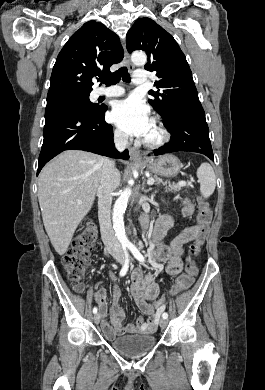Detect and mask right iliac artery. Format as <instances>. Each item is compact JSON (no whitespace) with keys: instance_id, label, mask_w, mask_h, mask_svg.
<instances>
[{"instance_id":"right-iliac-artery-1","label":"right iliac artery","mask_w":265,"mask_h":390,"mask_svg":"<svg viewBox=\"0 0 265 390\" xmlns=\"http://www.w3.org/2000/svg\"><path fill=\"white\" fill-rule=\"evenodd\" d=\"M124 253H125V263L120 271V276H124L126 275L127 271H128V268H129V259H128V253H127V250L126 248L124 247ZM93 313L96 314L97 313V307H94L93 308Z\"/></svg>"}]
</instances>
